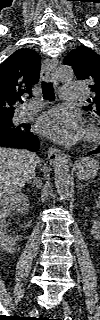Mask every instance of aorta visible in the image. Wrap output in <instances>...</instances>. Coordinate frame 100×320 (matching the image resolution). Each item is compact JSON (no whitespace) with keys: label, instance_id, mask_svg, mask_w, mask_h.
Here are the masks:
<instances>
[{"label":"aorta","instance_id":"1","mask_svg":"<svg viewBox=\"0 0 100 320\" xmlns=\"http://www.w3.org/2000/svg\"><path fill=\"white\" fill-rule=\"evenodd\" d=\"M56 77L59 81H70L74 77V71L71 66L62 65L57 68ZM54 180L57 192L64 198L72 195V180L68 161L65 157L61 158L54 170Z\"/></svg>","mask_w":100,"mask_h":320}]
</instances>
